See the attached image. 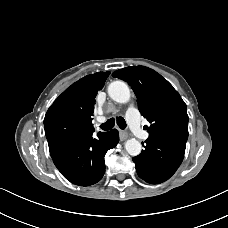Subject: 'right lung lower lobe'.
<instances>
[{"mask_svg":"<svg viewBox=\"0 0 228 228\" xmlns=\"http://www.w3.org/2000/svg\"><path fill=\"white\" fill-rule=\"evenodd\" d=\"M79 132L49 146L53 162L63 176L73 184L89 186L97 183L105 173L104 156L119 141L116 129L99 132Z\"/></svg>","mask_w":228,"mask_h":228,"instance_id":"98d812e1","label":"right lung lower lobe"}]
</instances>
